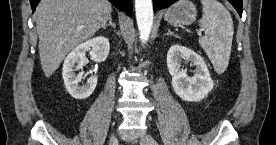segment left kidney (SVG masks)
I'll return each instance as SVG.
<instances>
[{"label":"left kidney","mask_w":276,"mask_h":145,"mask_svg":"<svg viewBox=\"0 0 276 145\" xmlns=\"http://www.w3.org/2000/svg\"><path fill=\"white\" fill-rule=\"evenodd\" d=\"M183 59L191 61L196 67L192 77L181 68ZM167 68L172 76L174 92L184 101H200L213 89L214 83L204 59L185 46L176 44L170 47L167 53Z\"/></svg>","instance_id":"left-kidney-1"}]
</instances>
